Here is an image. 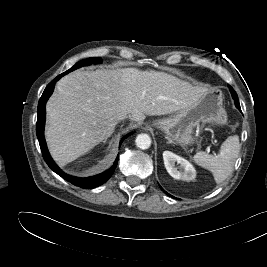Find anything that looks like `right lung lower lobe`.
Returning a JSON list of instances; mask_svg holds the SVG:
<instances>
[{"instance_id":"98d812e1","label":"right lung lower lobe","mask_w":267,"mask_h":267,"mask_svg":"<svg viewBox=\"0 0 267 267\" xmlns=\"http://www.w3.org/2000/svg\"><path fill=\"white\" fill-rule=\"evenodd\" d=\"M65 73L60 74L59 76H57L54 80H52L48 86L45 88L40 100H39V104H38V117H37V137L39 140V144H40V148L44 157V160L46 161V163L48 164V166L55 172L57 173L59 176H61L63 179L67 180L68 182L81 187V188H95L97 186L102 185L103 183H105L113 174L117 163H118V157L116 158L114 164L110 167V169H108L107 171L95 175V176H91V177H87V178H79V177H74L71 175H68L66 173H64L61 169H59V167L54 163V161L52 160L48 150H47V146H46V142H45V138H44V125H45V105L46 102L48 100V98L50 97V95L52 94L53 90H54V86L56 81H58L62 76H64ZM123 141V139H122ZM122 141L120 142V144L122 143Z\"/></svg>"}]
</instances>
